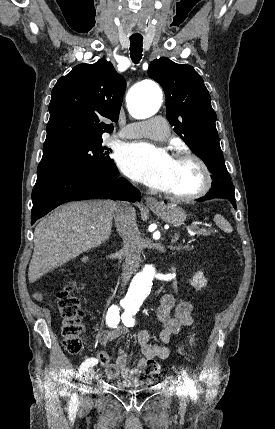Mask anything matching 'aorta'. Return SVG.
I'll return each instance as SVG.
<instances>
[{
	"label": "aorta",
	"instance_id": "aorta-1",
	"mask_svg": "<svg viewBox=\"0 0 275 429\" xmlns=\"http://www.w3.org/2000/svg\"><path fill=\"white\" fill-rule=\"evenodd\" d=\"M163 101V93L154 82H142L130 91L127 105L132 116L138 119L148 118L158 112ZM155 269L147 265L137 273L130 285L127 302L139 304L150 293Z\"/></svg>",
	"mask_w": 275,
	"mask_h": 429
}]
</instances>
